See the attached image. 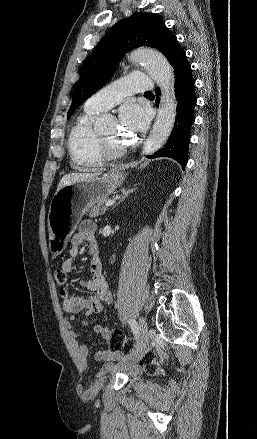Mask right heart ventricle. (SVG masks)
Masks as SVG:
<instances>
[{
  "label": "right heart ventricle",
  "instance_id": "obj_1",
  "mask_svg": "<svg viewBox=\"0 0 257 439\" xmlns=\"http://www.w3.org/2000/svg\"><path fill=\"white\" fill-rule=\"evenodd\" d=\"M96 113L85 110L69 133L68 151L76 169H93L103 162L104 156L98 143L99 133L93 128Z\"/></svg>",
  "mask_w": 257,
  "mask_h": 439
}]
</instances>
